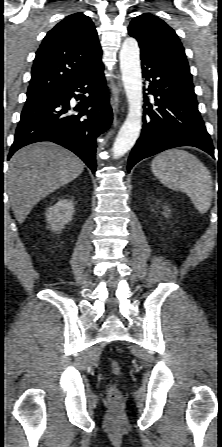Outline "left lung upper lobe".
Here are the masks:
<instances>
[{"label":"left lung upper lobe","instance_id":"1","mask_svg":"<svg viewBox=\"0 0 222 447\" xmlns=\"http://www.w3.org/2000/svg\"><path fill=\"white\" fill-rule=\"evenodd\" d=\"M128 32L137 39L141 51L159 57L192 80L184 48L175 31L164 21L142 14L131 21Z\"/></svg>","mask_w":222,"mask_h":447}]
</instances>
